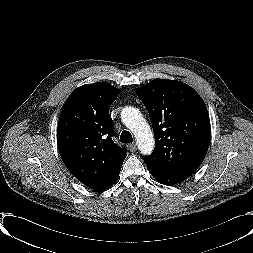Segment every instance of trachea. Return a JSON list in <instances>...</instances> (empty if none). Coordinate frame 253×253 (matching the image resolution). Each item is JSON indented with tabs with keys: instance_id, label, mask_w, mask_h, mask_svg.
Wrapping results in <instances>:
<instances>
[{
	"instance_id": "obj_1",
	"label": "trachea",
	"mask_w": 253,
	"mask_h": 253,
	"mask_svg": "<svg viewBox=\"0 0 253 253\" xmlns=\"http://www.w3.org/2000/svg\"><path fill=\"white\" fill-rule=\"evenodd\" d=\"M133 138L129 131L124 130L120 135V142L129 144L132 143Z\"/></svg>"
}]
</instances>
